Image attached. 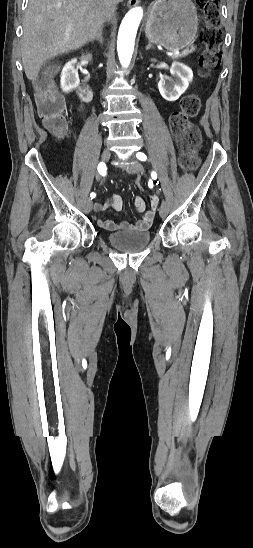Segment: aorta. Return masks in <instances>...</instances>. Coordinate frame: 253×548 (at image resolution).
Instances as JSON below:
<instances>
[{
  "instance_id": "1",
  "label": "aorta",
  "mask_w": 253,
  "mask_h": 548,
  "mask_svg": "<svg viewBox=\"0 0 253 548\" xmlns=\"http://www.w3.org/2000/svg\"><path fill=\"white\" fill-rule=\"evenodd\" d=\"M142 17V7H134L128 11L121 22L118 32L117 51L123 67H128L131 62L135 38Z\"/></svg>"
}]
</instances>
